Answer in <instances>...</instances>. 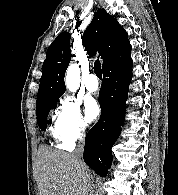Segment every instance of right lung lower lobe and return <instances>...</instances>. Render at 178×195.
Here are the masks:
<instances>
[{
    "label": "right lung lower lobe",
    "instance_id": "obj_1",
    "mask_svg": "<svg viewBox=\"0 0 178 195\" xmlns=\"http://www.w3.org/2000/svg\"><path fill=\"white\" fill-rule=\"evenodd\" d=\"M133 62L104 74L99 92L101 116L85 139L84 161L98 175L106 176L112 164L111 148L121 132Z\"/></svg>",
    "mask_w": 178,
    "mask_h": 195
}]
</instances>
